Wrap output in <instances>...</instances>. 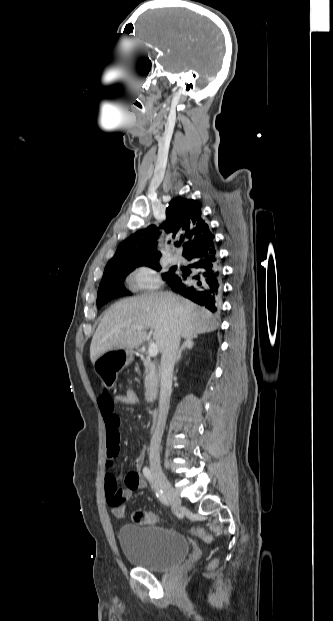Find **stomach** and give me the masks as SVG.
I'll return each mask as SVG.
<instances>
[{"label": "stomach", "mask_w": 333, "mask_h": 621, "mask_svg": "<svg viewBox=\"0 0 333 621\" xmlns=\"http://www.w3.org/2000/svg\"><path fill=\"white\" fill-rule=\"evenodd\" d=\"M133 360L134 353L131 349L114 347L94 362V370L101 379L111 384L117 373Z\"/></svg>", "instance_id": "stomach-1"}]
</instances>
